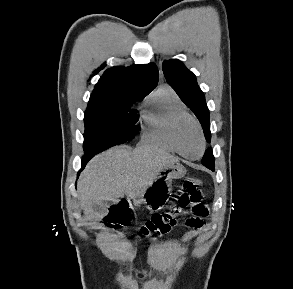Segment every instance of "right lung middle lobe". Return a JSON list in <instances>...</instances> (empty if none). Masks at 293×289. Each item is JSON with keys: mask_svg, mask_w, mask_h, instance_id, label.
<instances>
[{"mask_svg": "<svg viewBox=\"0 0 293 289\" xmlns=\"http://www.w3.org/2000/svg\"><path fill=\"white\" fill-rule=\"evenodd\" d=\"M138 98L118 100L112 103L88 105L84 115V152L95 154L117 144L132 140L139 116L130 113L131 105Z\"/></svg>", "mask_w": 293, "mask_h": 289, "instance_id": "dd1d6c3e", "label": "right lung middle lobe"}]
</instances>
